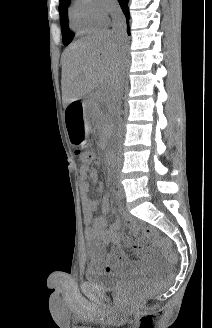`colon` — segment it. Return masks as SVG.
I'll list each match as a JSON object with an SVG mask.
<instances>
[{
  "label": "colon",
  "instance_id": "1",
  "mask_svg": "<svg viewBox=\"0 0 212 328\" xmlns=\"http://www.w3.org/2000/svg\"><path fill=\"white\" fill-rule=\"evenodd\" d=\"M76 152H77V155L79 156L81 162H83V163L79 164L80 173H91L92 164L90 162L93 159L92 152L84 150L82 148V146H76ZM143 232L146 236H152V234H153L150 229H145ZM153 240L156 244H158L162 248L168 261H170L171 263H175L177 260V256H176L175 252L172 250L170 243L167 240H165L164 238L159 237V236H154ZM156 288H157V285H155V284H152V283L147 284L135 292V297L137 299H140V298L150 294L151 292H153Z\"/></svg>",
  "mask_w": 212,
  "mask_h": 328
}]
</instances>
